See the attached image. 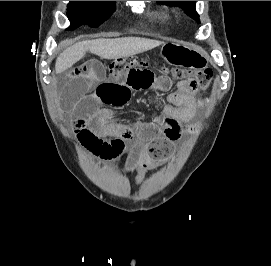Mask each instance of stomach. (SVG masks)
<instances>
[{
    "instance_id": "obj_1",
    "label": "stomach",
    "mask_w": 271,
    "mask_h": 266,
    "mask_svg": "<svg viewBox=\"0 0 271 266\" xmlns=\"http://www.w3.org/2000/svg\"><path fill=\"white\" fill-rule=\"evenodd\" d=\"M160 56L175 67L204 69L208 65L206 56L199 48L181 42L163 44Z\"/></svg>"
}]
</instances>
